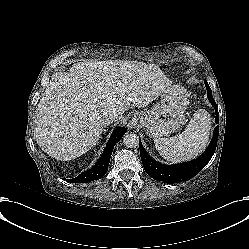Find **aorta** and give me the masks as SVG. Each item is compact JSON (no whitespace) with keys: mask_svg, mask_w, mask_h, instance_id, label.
<instances>
[{"mask_svg":"<svg viewBox=\"0 0 249 249\" xmlns=\"http://www.w3.org/2000/svg\"><path fill=\"white\" fill-rule=\"evenodd\" d=\"M123 143L127 148H136L139 144V137L134 132H127L123 136Z\"/></svg>","mask_w":249,"mask_h":249,"instance_id":"obj_1","label":"aorta"}]
</instances>
